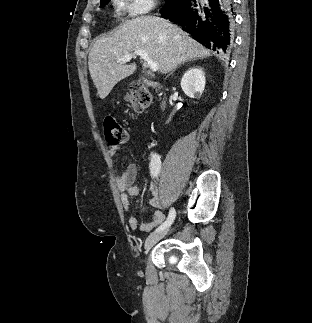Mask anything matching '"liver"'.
<instances>
[{
	"label": "liver",
	"mask_w": 312,
	"mask_h": 323,
	"mask_svg": "<svg viewBox=\"0 0 312 323\" xmlns=\"http://www.w3.org/2000/svg\"><path fill=\"white\" fill-rule=\"evenodd\" d=\"M136 50L147 52L149 58L158 64L161 74L172 72L187 60L211 56L210 50L189 38L169 20L157 16L127 20L111 36L96 40L88 56L90 76L101 100L110 94L117 82L134 74L136 64L124 66L116 60Z\"/></svg>",
	"instance_id": "liver-1"
}]
</instances>
